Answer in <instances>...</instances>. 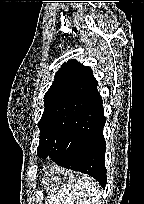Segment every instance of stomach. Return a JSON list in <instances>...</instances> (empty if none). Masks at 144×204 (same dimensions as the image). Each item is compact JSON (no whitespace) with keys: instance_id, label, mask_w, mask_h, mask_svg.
<instances>
[{"instance_id":"stomach-1","label":"stomach","mask_w":144,"mask_h":204,"mask_svg":"<svg viewBox=\"0 0 144 204\" xmlns=\"http://www.w3.org/2000/svg\"><path fill=\"white\" fill-rule=\"evenodd\" d=\"M74 181L73 173L59 168H53L42 180L44 189L54 195L59 191L72 187Z\"/></svg>"}]
</instances>
